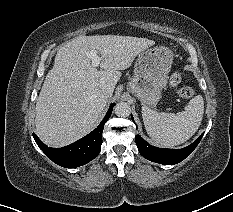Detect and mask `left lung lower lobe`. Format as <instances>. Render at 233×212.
<instances>
[{"label":"left lung lower lobe","mask_w":233,"mask_h":212,"mask_svg":"<svg viewBox=\"0 0 233 212\" xmlns=\"http://www.w3.org/2000/svg\"><path fill=\"white\" fill-rule=\"evenodd\" d=\"M203 134H201L200 137L197 138L191 145L182 149H162L154 147L148 144L139 135H136L135 139L138 150L144 158L160 164L173 165L181 162L192 153L200 142Z\"/></svg>","instance_id":"obj_1"}]
</instances>
